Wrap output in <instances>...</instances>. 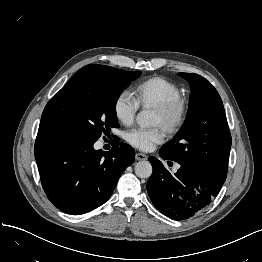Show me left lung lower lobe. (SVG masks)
<instances>
[{"instance_id":"obj_1","label":"left lung lower lobe","mask_w":262,"mask_h":262,"mask_svg":"<svg viewBox=\"0 0 262 262\" xmlns=\"http://www.w3.org/2000/svg\"><path fill=\"white\" fill-rule=\"evenodd\" d=\"M159 154L171 160L163 152ZM149 161L153 173L146 185L148 195L162 214L174 220L188 219L205 209L219 193L227 175L208 179L181 164L180 169L171 174L155 157Z\"/></svg>"}]
</instances>
